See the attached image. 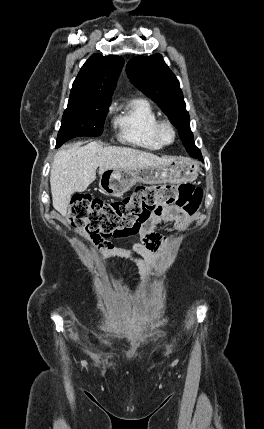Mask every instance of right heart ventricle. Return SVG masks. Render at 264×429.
I'll list each match as a JSON object with an SVG mask.
<instances>
[{
    "instance_id": "obj_1",
    "label": "right heart ventricle",
    "mask_w": 264,
    "mask_h": 429,
    "mask_svg": "<svg viewBox=\"0 0 264 429\" xmlns=\"http://www.w3.org/2000/svg\"><path fill=\"white\" fill-rule=\"evenodd\" d=\"M159 116L145 98H134L120 108L115 118L117 138L146 150H158L163 144L155 135Z\"/></svg>"
}]
</instances>
